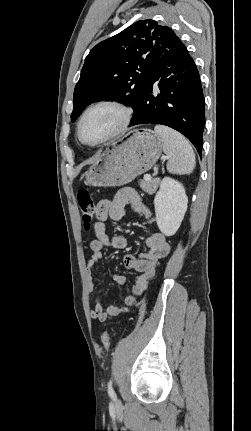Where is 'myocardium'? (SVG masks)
<instances>
[{
	"label": "myocardium",
	"mask_w": 251,
	"mask_h": 431,
	"mask_svg": "<svg viewBox=\"0 0 251 431\" xmlns=\"http://www.w3.org/2000/svg\"><path fill=\"white\" fill-rule=\"evenodd\" d=\"M100 107H112V108L117 109L121 114V119H120L119 124L116 126V128L109 135H107L105 138L101 139L98 142L89 143V142L85 141L82 137V133H81L82 124H83L85 117L87 116V114L89 112H91L97 108H100ZM132 116H133L132 109L120 101L113 100V99H105V100L98 101V102L90 105L89 107H87L84 110V112L82 113V115L80 116V119H79L78 124H77L78 139L80 140V142L82 144L89 146V147L100 146V145L107 143L108 141L116 138L120 134H122L128 128V126L132 120Z\"/></svg>",
	"instance_id": "1"
}]
</instances>
